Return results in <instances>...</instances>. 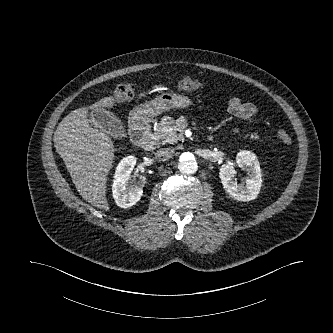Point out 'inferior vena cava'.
Masks as SVG:
<instances>
[{"instance_id":"1","label":"inferior vena cava","mask_w":333,"mask_h":333,"mask_svg":"<svg viewBox=\"0 0 333 333\" xmlns=\"http://www.w3.org/2000/svg\"><path fill=\"white\" fill-rule=\"evenodd\" d=\"M175 151L171 148H162L156 152V156L160 161H167L174 155Z\"/></svg>"}]
</instances>
